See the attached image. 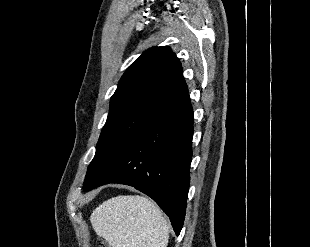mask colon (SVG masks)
Masks as SVG:
<instances>
[{
    "label": "colon",
    "instance_id": "1",
    "mask_svg": "<svg viewBox=\"0 0 310 247\" xmlns=\"http://www.w3.org/2000/svg\"><path fill=\"white\" fill-rule=\"evenodd\" d=\"M100 247H111V246L106 241H101Z\"/></svg>",
    "mask_w": 310,
    "mask_h": 247
}]
</instances>
